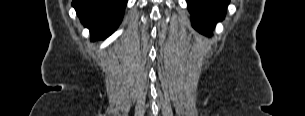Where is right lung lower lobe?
<instances>
[{
	"label": "right lung lower lobe",
	"mask_w": 305,
	"mask_h": 116,
	"mask_svg": "<svg viewBox=\"0 0 305 116\" xmlns=\"http://www.w3.org/2000/svg\"><path fill=\"white\" fill-rule=\"evenodd\" d=\"M127 0H73L78 17L89 28L91 39H105L122 21Z\"/></svg>",
	"instance_id": "98d812e1"
}]
</instances>
